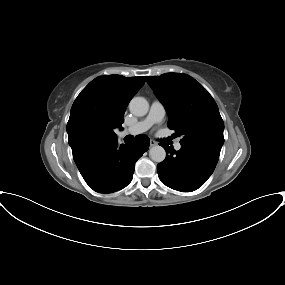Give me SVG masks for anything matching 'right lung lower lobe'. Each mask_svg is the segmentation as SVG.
Listing matches in <instances>:
<instances>
[{
	"mask_svg": "<svg viewBox=\"0 0 285 285\" xmlns=\"http://www.w3.org/2000/svg\"><path fill=\"white\" fill-rule=\"evenodd\" d=\"M149 138L139 135L129 145L117 139L88 148L73 157L86 181L96 192L112 193L126 187L133 178L136 161L149 148Z\"/></svg>",
	"mask_w": 285,
	"mask_h": 285,
	"instance_id": "98d812e1",
	"label": "right lung lower lobe"
}]
</instances>
